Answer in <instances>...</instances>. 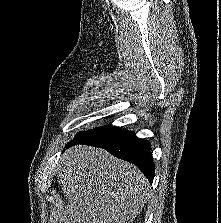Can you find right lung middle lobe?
I'll use <instances>...</instances> for the list:
<instances>
[{"label": "right lung middle lobe", "instance_id": "obj_1", "mask_svg": "<svg viewBox=\"0 0 221 223\" xmlns=\"http://www.w3.org/2000/svg\"><path fill=\"white\" fill-rule=\"evenodd\" d=\"M106 127H108V126L98 127V128H95V129H92V130H89V131L80 132V133L77 134V136L72 141H74L76 139L83 138V137H85V136H87L89 134H92V133L96 132L97 130L104 129Z\"/></svg>", "mask_w": 221, "mask_h": 223}]
</instances>
